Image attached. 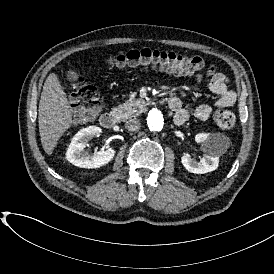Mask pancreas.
<instances>
[{
    "label": "pancreas",
    "mask_w": 274,
    "mask_h": 274,
    "mask_svg": "<svg viewBox=\"0 0 274 274\" xmlns=\"http://www.w3.org/2000/svg\"><path fill=\"white\" fill-rule=\"evenodd\" d=\"M144 108L135 98L129 99L127 102L112 108L111 113L120 120H127L142 114Z\"/></svg>",
    "instance_id": "pancreas-1"
}]
</instances>
